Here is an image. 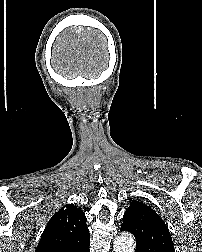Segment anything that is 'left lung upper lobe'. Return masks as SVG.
Returning <instances> with one entry per match:
<instances>
[{"mask_svg":"<svg viewBox=\"0 0 202 252\" xmlns=\"http://www.w3.org/2000/svg\"><path fill=\"white\" fill-rule=\"evenodd\" d=\"M121 228L136 239V252H175L170 232L160 216L146 204L133 201Z\"/></svg>","mask_w":202,"mask_h":252,"instance_id":"5c2ea615","label":"left lung upper lobe"}]
</instances>
